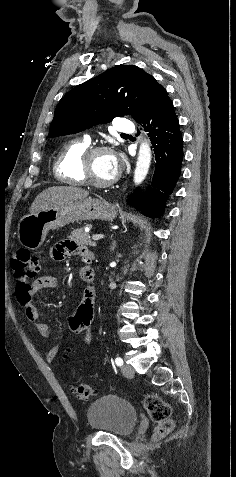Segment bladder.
<instances>
[{"label": "bladder", "mask_w": 236, "mask_h": 477, "mask_svg": "<svg viewBox=\"0 0 236 477\" xmlns=\"http://www.w3.org/2000/svg\"><path fill=\"white\" fill-rule=\"evenodd\" d=\"M86 418L91 429L126 437L135 429L138 413L126 400L108 394L95 400L88 407Z\"/></svg>", "instance_id": "bladder-1"}]
</instances>
